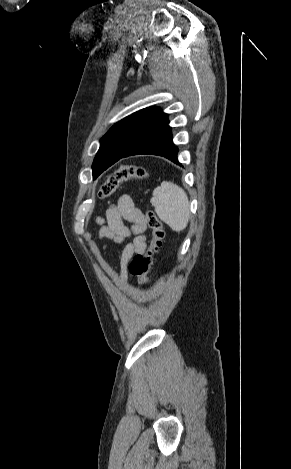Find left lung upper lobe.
Here are the masks:
<instances>
[{
  "instance_id": "5c2ea615",
  "label": "left lung upper lobe",
  "mask_w": 291,
  "mask_h": 469,
  "mask_svg": "<svg viewBox=\"0 0 291 469\" xmlns=\"http://www.w3.org/2000/svg\"><path fill=\"white\" fill-rule=\"evenodd\" d=\"M166 121L167 114L160 108L148 107L117 122L100 140L92 165L93 178L96 179L119 156Z\"/></svg>"
}]
</instances>
